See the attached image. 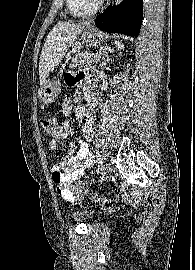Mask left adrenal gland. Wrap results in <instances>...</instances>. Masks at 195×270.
Masks as SVG:
<instances>
[{
    "instance_id": "1",
    "label": "left adrenal gland",
    "mask_w": 195,
    "mask_h": 270,
    "mask_svg": "<svg viewBox=\"0 0 195 270\" xmlns=\"http://www.w3.org/2000/svg\"><path fill=\"white\" fill-rule=\"evenodd\" d=\"M111 60H112V59H111L109 56H107V59H106L105 61L102 62L101 67L105 66L106 63L109 62V61H111Z\"/></svg>"
}]
</instances>
